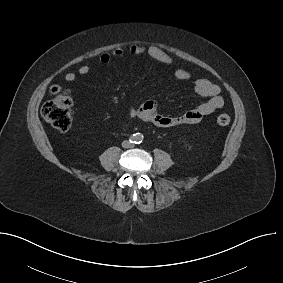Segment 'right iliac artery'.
Listing matches in <instances>:
<instances>
[{"label": "right iliac artery", "mask_w": 283, "mask_h": 283, "mask_svg": "<svg viewBox=\"0 0 283 283\" xmlns=\"http://www.w3.org/2000/svg\"><path fill=\"white\" fill-rule=\"evenodd\" d=\"M130 142H131V143H135V142H136L135 137L131 136V137H130Z\"/></svg>", "instance_id": "1"}]
</instances>
